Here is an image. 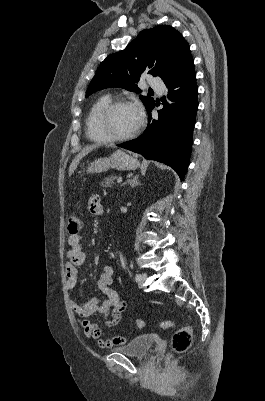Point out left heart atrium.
<instances>
[{
    "label": "left heart atrium",
    "instance_id": "left-heart-atrium-1",
    "mask_svg": "<svg viewBox=\"0 0 265 401\" xmlns=\"http://www.w3.org/2000/svg\"><path fill=\"white\" fill-rule=\"evenodd\" d=\"M132 108H133L137 118L139 119V117L141 115V107H140V105L139 104L132 105Z\"/></svg>",
    "mask_w": 265,
    "mask_h": 401
}]
</instances>
